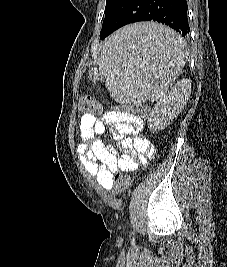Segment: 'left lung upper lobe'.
Returning <instances> with one entry per match:
<instances>
[{
	"label": "left lung upper lobe",
	"mask_w": 227,
	"mask_h": 267,
	"mask_svg": "<svg viewBox=\"0 0 227 267\" xmlns=\"http://www.w3.org/2000/svg\"><path fill=\"white\" fill-rule=\"evenodd\" d=\"M127 1L128 0H106L105 18L103 25L118 11H120Z\"/></svg>",
	"instance_id": "1"
}]
</instances>
